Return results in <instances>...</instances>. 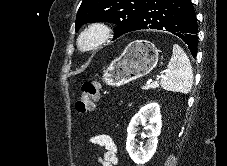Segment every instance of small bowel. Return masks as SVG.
Segmentation results:
<instances>
[{
  "instance_id": "obj_1",
  "label": "small bowel",
  "mask_w": 227,
  "mask_h": 166,
  "mask_svg": "<svg viewBox=\"0 0 227 166\" xmlns=\"http://www.w3.org/2000/svg\"><path fill=\"white\" fill-rule=\"evenodd\" d=\"M89 142L103 150L102 156L97 158L101 166H116L118 164L116 157L117 148L110 135H95L89 139Z\"/></svg>"
}]
</instances>
